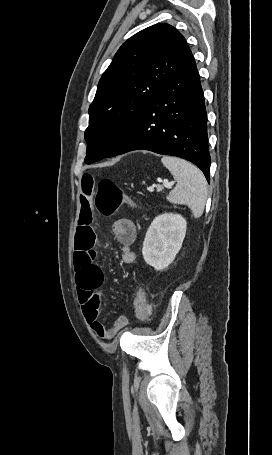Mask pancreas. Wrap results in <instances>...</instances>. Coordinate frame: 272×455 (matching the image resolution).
Returning <instances> with one entry per match:
<instances>
[{"mask_svg": "<svg viewBox=\"0 0 272 455\" xmlns=\"http://www.w3.org/2000/svg\"><path fill=\"white\" fill-rule=\"evenodd\" d=\"M156 189H157V192H160L163 190V187L161 185H157L156 186Z\"/></svg>", "mask_w": 272, "mask_h": 455, "instance_id": "obj_1", "label": "pancreas"}]
</instances>
